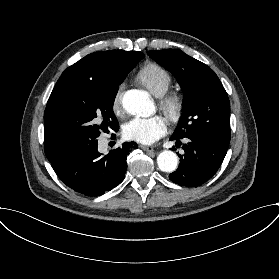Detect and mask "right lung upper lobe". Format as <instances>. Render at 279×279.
Returning <instances> with one entry per match:
<instances>
[{
  "label": "right lung upper lobe",
  "instance_id": "obj_1",
  "mask_svg": "<svg viewBox=\"0 0 279 279\" xmlns=\"http://www.w3.org/2000/svg\"><path fill=\"white\" fill-rule=\"evenodd\" d=\"M144 57L142 52L109 50L95 52L68 67L57 81L66 79H101L121 72L127 65L139 62Z\"/></svg>",
  "mask_w": 279,
  "mask_h": 279
}]
</instances>
